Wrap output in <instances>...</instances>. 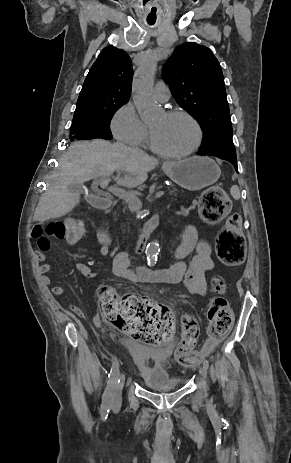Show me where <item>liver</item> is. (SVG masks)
Segmentation results:
<instances>
[{
    "label": "liver",
    "mask_w": 291,
    "mask_h": 463,
    "mask_svg": "<svg viewBox=\"0 0 291 463\" xmlns=\"http://www.w3.org/2000/svg\"><path fill=\"white\" fill-rule=\"evenodd\" d=\"M157 164L155 158L122 143L101 139L75 142L60 159L52 184L40 198L33 219L45 221L71 212L80 202V193L70 190L73 184L82 186L86 181L109 177L117 170L124 174L117 184L133 188L144 183Z\"/></svg>",
    "instance_id": "liver-1"
}]
</instances>
